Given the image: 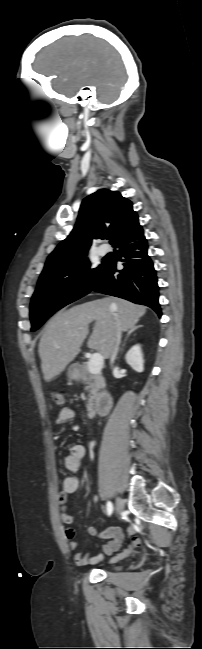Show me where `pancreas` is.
I'll return each instance as SVG.
<instances>
[{
	"label": "pancreas",
	"instance_id": "pancreas-1",
	"mask_svg": "<svg viewBox=\"0 0 202 649\" xmlns=\"http://www.w3.org/2000/svg\"><path fill=\"white\" fill-rule=\"evenodd\" d=\"M78 369V380L87 384V390L89 391L87 408L89 411H92L96 400H98L99 390L105 387V380L100 372L97 374H91L88 369V363L78 365Z\"/></svg>",
	"mask_w": 202,
	"mask_h": 649
}]
</instances>
